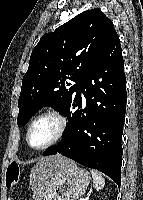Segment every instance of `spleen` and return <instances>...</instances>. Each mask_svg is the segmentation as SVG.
I'll return each instance as SVG.
<instances>
[{
  "label": "spleen",
  "mask_w": 143,
  "mask_h": 200,
  "mask_svg": "<svg viewBox=\"0 0 143 200\" xmlns=\"http://www.w3.org/2000/svg\"><path fill=\"white\" fill-rule=\"evenodd\" d=\"M90 172L92 174L94 187L97 190L102 189L105 185V179L103 178V176L98 171L93 169Z\"/></svg>",
  "instance_id": "spleen-1"
}]
</instances>
